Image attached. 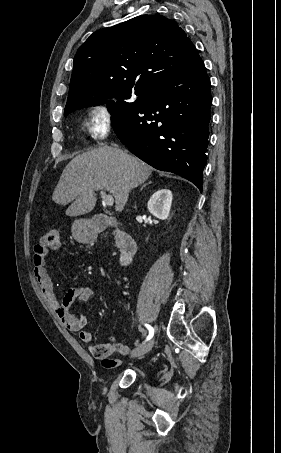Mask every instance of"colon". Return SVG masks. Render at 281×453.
Masks as SVG:
<instances>
[{"instance_id": "5ec220e1", "label": "colon", "mask_w": 281, "mask_h": 453, "mask_svg": "<svg viewBox=\"0 0 281 453\" xmlns=\"http://www.w3.org/2000/svg\"><path fill=\"white\" fill-rule=\"evenodd\" d=\"M59 231H60V228L58 226H48L45 234L41 238L40 246L38 249H47V251H48L47 258L51 254L57 253L59 251V242H58Z\"/></svg>"}]
</instances>
